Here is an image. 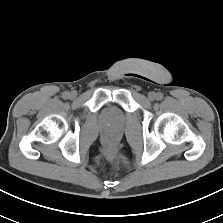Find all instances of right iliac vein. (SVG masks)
<instances>
[{
  "instance_id": "right-iliac-vein-1",
  "label": "right iliac vein",
  "mask_w": 223,
  "mask_h": 223,
  "mask_svg": "<svg viewBox=\"0 0 223 223\" xmlns=\"http://www.w3.org/2000/svg\"><path fill=\"white\" fill-rule=\"evenodd\" d=\"M77 96V92L76 91H72L71 93H70V97L71 98H75Z\"/></svg>"
}]
</instances>
